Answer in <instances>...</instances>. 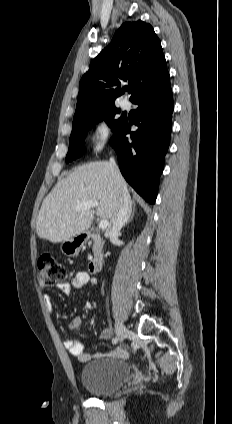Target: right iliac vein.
<instances>
[{"label": "right iliac vein", "instance_id": "right-iliac-vein-1", "mask_svg": "<svg viewBox=\"0 0 232 424\" xmlns=\"http://www.w3.org/2000/svg\"><path fill=\"white\" fill-rule=\"evenodd\" d=\"M115 329L119 341H123L125 337L129 334L128 329L122 322H117L115 325Z\"/></svg>", "mask_w": 232, "mask_h": 424}]
</instances>
